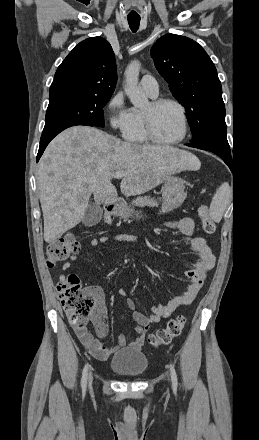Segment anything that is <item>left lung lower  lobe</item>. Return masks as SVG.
<instances>
[{
    "mask_svg": "<svg viewBox=\"0 0 259 440\" xmlns=\"http://www.w3.org/2000/svg\"><path fill=\"white\" fill-rule=\"evenodd\" d=\"M187 145L213 152L221 157L229 167L232 165L230 146L226 134H210Z\"/></svg>",
    "mask_w": 259,
    "mask_h": 440,
    "instance_id": "1",
    "label": "left lung lower lobe"
}]
</instances>
